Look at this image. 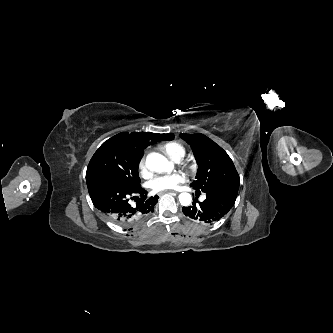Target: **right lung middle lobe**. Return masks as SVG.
<instances>
[{
  "label": "right lung middle lobe",
  "mask_w": 333,
  "mask_h": 333,
  "mask_svg": "<svg viewBox=\"0 0 333 333\" xmlns=\"http://www.w3.org/2000/svg\"><path fill=\"white\" fill-rule=\"evenodd\" d=\"M138 164L139 161L132 157L123 142L112 137L105 141L91 158L86 179L100 175L130 186H138L140 185Z\"/></svg>",
  "instance_id": "right-lung-middle-lobe-1"
}]
</instances>
